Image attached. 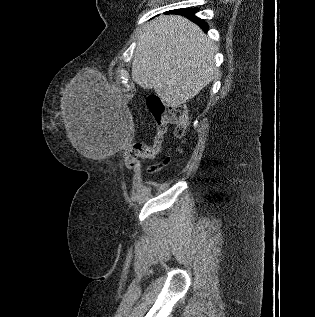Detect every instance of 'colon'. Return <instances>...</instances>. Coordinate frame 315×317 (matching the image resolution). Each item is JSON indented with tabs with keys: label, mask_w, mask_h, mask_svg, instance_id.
Returning <instances> with one entry per match:
<instances>
[{
	"label": "colon",
	"mask_w": 315,
	"mask_h": 317,
	"mask_svg": "<svg viewBox=\"0 0 315 317\" xmlns=\"http://www.w3.org/2000/svg\"><path fill=\"white\" fill-rule=\"evenodd\" d=\"M147 106L156 124V134L152 142H138L128 148L126 161L131 164L139 159L158 155L162 150L164 136L169 126H174L175 135L181 139L185 137L188 129L189 117L185 107L167 106L157 97H150ZM161 166L155 164L150 169L156 172Z\"/></svg>",
	"instance_id": "obj_1"
}]
</instances>
